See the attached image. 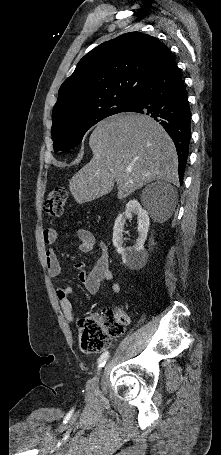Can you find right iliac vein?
<instances>
[{
    "label": "right iliac vein",
    "instance_id": "63e3f726",
    "mask_svg": "<svg viewBox=\"0 0 221 455\" xmlns=\"http://www.w3.org/2000/svg\"><path fill=\"white\" fill-rule=\"evenodd\" d=\"M99 376L98 374L95 378H93L91 381L88 382L86 386V390L89 396H91L98 388V381H99Z\"/></svg>",
    "mask_w": 221,
    "mask_h": 455
}]
</instances>
